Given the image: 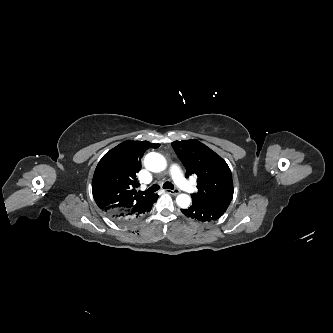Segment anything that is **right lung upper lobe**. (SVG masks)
<instances>
[{
  "label": "right lung upper lobe",
  "mask_w": 333,
  "mask_h": 333,
  "mask_svg": "<svg viewBox=\"0 0 333 333\" xmlns=\"http://www.w3.org/2000/svg\"><path fill=\"white\" fill-rule=\"evenodd\" d=\"M159 144L148 141H125L108 151L98 163L92 180V193L103 212L130 209L145 203L155 194L141 196L136 174L141 169V158L148 148Z\"/></svg>",
  "instance_id": "cb5924a9"
}]
</instances>
